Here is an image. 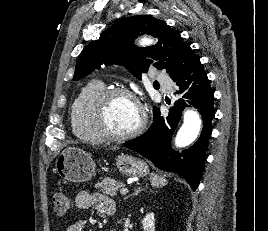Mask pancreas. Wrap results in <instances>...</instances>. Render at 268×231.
Returning <instances> with one entry per match:
<instances>
[{
	"label": "pancreas",
	"mask_w": 268,
	"mask_h": 231,
	"mask_svg": "<svg viewBox=\"0 0 268 231\" xmlns=\"http://www.w3.org/2000/svg\"><path fill=\"white\" fill-rule=\"evenodd\" d=\"M122 187H124L122 182L111 178H104L101 182H98L95 185V188L100 192L110 196H116L118 190Z\"/></svg>",
	"instance_id": "obj_1"
}]
</instances>
